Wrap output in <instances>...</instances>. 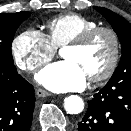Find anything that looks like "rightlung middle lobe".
<instances>
[{
    "instance_id": "1",
    "label": "right lung middle lobe",
    "mask_w": 131,
    "mask_h": 131,
    "mask_svg": "<svg viewBox=\"0 0 131 131\" xmlns=\"http://www.w3.org/2000/svg\"><path fill=\"white\" fill-rule=\"evenodd\" d=\"M29 16V12L0 14V63L14 65L11 43L17 28Z\"/></svg>"
}]
</instances>
